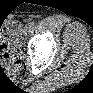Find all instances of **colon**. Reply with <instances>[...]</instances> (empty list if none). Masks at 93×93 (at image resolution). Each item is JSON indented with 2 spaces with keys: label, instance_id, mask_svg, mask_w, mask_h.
<instances>
[{
  "label": "colon",
  "instance_id": "5ec220e1",
  "mask_svg": "<svg viewBox=\"0 0 93 93\" xmlns=\"http://www.w3.org/2000/svg\"><path fill=\"white\" fill-rule=\"evenodd\" d=\"M16 25L11 24L10 26L2 24L0 30V51L2 64L5 65L7 62L15 63L17 58L15 56V40H16Z\"/></svg>",
  "mask_w": 93,
  "mask_h": 93
}]
</instances>
